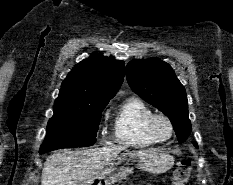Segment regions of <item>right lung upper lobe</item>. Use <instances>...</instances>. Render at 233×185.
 <instances>
[{
  "label": "right lung upper lobe",
  "instance_id": "obj_1",
  "mask_svg": "<svg viewBox=\"0 0 233 185\" xmlns=\"http://www.w3.org/2000/svg\"><path fill=\"white\" fill-rule=\"evenodd\" d=\"M124 78V62L94 53L78 63L62 82L57 99L82 103L109 101Z\"/></svg>",
  "mask_w": 233,
  "mask_h": 185
}]
</instances>
